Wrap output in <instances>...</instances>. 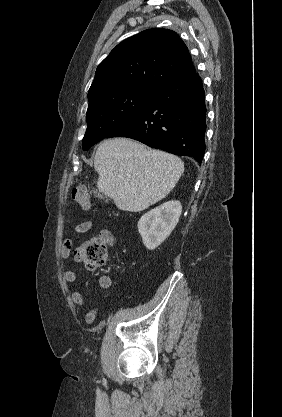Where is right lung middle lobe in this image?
I'll list each match as a JSON object with an SVG mask.
<instances>
[{
    "label": "right lung middle lobe",
    "mask_w": 282,
    "mask_h": 417,
    "mask_svg": "<svg viewBox=\"0 0 282 417\" xmlns=\"http://www.w3.org/2000/svg\"><path fill=\"white\" fill-rule=\"evenodd\" d=\"M157 91L130 88L111 91L88 98L86 114L88 128L83 138V150L104 139L112 130L143 108Z\"/></svg>",
    "instance_id": "1"
}]
</instances>
